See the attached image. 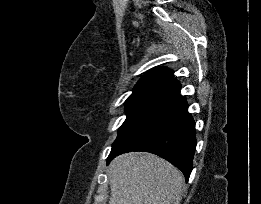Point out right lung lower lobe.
<instances>
[{
    "label": "right lung lower lobe",
    "mask_w": 261,
    "mask_h": 204,
    "mask_svg": "<svg viewBox=\"0 0 261 204\" xmlns=\"http://www.w3.org/2000/svg\"><path fill=\"white\" fill-rule=\"evenodd\" d=\"M195 147V122L178 89L112 147L108 163L121 153L150 152L179 168L188 181Z\"/></svg>",
    "instance_id": "1"
}]
</instances>
